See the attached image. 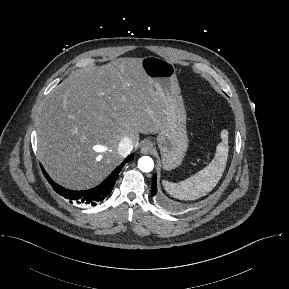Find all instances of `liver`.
<instances>
[{
	"label": "liver",
	"instance_id": "6515ba94",
	"mask_svg": "<svg viewBox=\"0 0 289 289\" xmlns=\"http://www.w3.org/2000/svg\"><path fill=\"white\" fill-rule=\"evenodd\" d=\"M166 105L140 58H118L72 74L47 96L36 120L38 157L51 178L72 190L103 181L123 160L124 137L156 134Z\"/></svg>",
	"mask_w": 289,
	"mask_h": 289
}]
</instances>
